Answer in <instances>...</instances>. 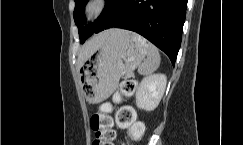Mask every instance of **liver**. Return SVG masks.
Wrapping results in <instances>:
<instances>
[{"mask_svg": "<svg viewBox=\"0 0 243 145\" xmlns=\"http://www.w3.org/2000/svg\"><path fill=\"white\" fill-rule=\"evenodd\" d=\"M110 30L104 31L98 35H95L90 40H88L82 47L78 56L79 67L103 44L106 37L109 35Z\"/></svg>", "mask_w": 243, "mask_h": 145, "instance_id": "liver-1", "label": "liver"}]
</instances>
